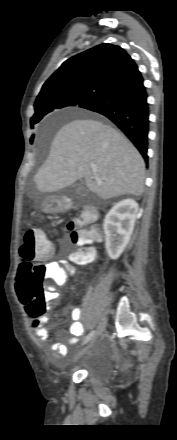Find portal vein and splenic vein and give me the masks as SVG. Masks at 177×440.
Masks as SVG:
<instances>
[{
    "mask_svg": "<svg viewBox=\"0 0 177 440\" xmlns=\"http://www.w3.org/2000/svg\"><path fill=\"white\" fill-rule=\"evenodd\" d=\"M92 173H93L94 178L97 180V182H98L99 184H101L102 182L100 181V179H99L98 176H97V168H96V167H93V168H92Z\"/></svg>",
    "mask_w": 177,
    "mask_h": 440,
    "instance_id": "18ae733b",
    "label": "portal vein and splenic vein"
}]
</instances>
